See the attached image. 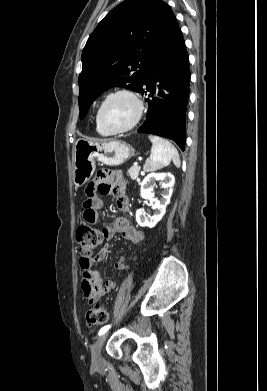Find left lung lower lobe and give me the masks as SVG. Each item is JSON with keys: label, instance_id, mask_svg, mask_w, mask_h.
<instances>
[{"label": "left lung lower lobe", "instance_id": "0a47b994", "mask_svg": "<svg viewBox=\"0 0 267 391\" xmlns=\"http://www.w3.org/2000/svg\"><path fill=\"white\" fill-rule=\"evenodd\" d=\"M189 82V58L181 30L178 28L152 57L138 91L142 95L150 92V98L147 99V118L138 132L171 139L184 151ZM162 89H168L169 95H165Z\"/></svg>", "mask_w": 267, "mask_h": 391}]
</instances>
